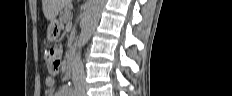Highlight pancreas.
<instances>
[{"label":"pancreas","instance_id":"pancreas-1","mask_svg":"<svg viewBox=\"0 0 232 96\" xmlns=\"http://www.w3.org/2000/svg\"><path fill=\"white\" fill-rule=\"evenodd\" d=\"M72 18V12L70 7H66L64 11L61 13L60 17V26L63 29L64 23Z\"/></svg>","mask_w":232,"mask_h":96}]
</instances>
